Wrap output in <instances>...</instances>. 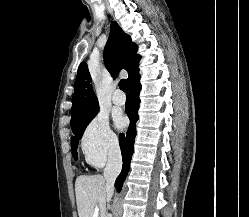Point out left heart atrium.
I'll return each mask as SVG.
<instances>
[{"label": "left heart atrium", "mask_w": 249, "mask_h": 217, "mask_svg": "<svg viewBox=\"0 0 249 217\" xmlns=\"http://www.w3.org/2000/svg\"><path fill=\"white\" fill-rule=\"evenodd\" d=\"M126 124H127V121H126V119L124 117L119 116V117L116 118V125H117L118 128L122 129V128H124L126 126Z\"/></svg>", "instance_id": "left-heart-atrium-1"}]
</instances>
